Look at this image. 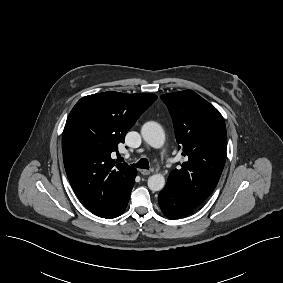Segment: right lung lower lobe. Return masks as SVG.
<instances>
[{
  "label": "right lung lower lobe",
  "mask_w": 283,
  "mask_h": 283,
  "mask_svg": "<svg viewBox=\"0 0 283 283\" xmlns=\"http://www.w3.org/2000/svg\"><path fill=\"white\" fill-rule=\"evenodd\" d=\"M132 187L129 190V192L127 193V195L122 199V201H120L117 204V206L114 209H112L110 212H108V213H106V214H104L102 216H99V217H102V218H115V217L120 216L124 212V210H125V208H126V206L128 204V201H129V198H130V192L132 190Z\"/></svg>",
  "instance_id": "obj_1"
}]
</instances>
